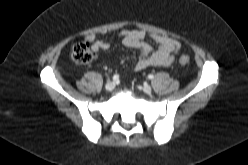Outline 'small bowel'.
<instances>
[{
    "mask_svg": "<svg viewBox=\"0 0 248 165\" xmlns=\"http://www.w3.org/2000/svg\"><path fill=\"white\" fill-rule=\"evenodd\" d=\"M122 43L128 48H138L141 51L140 57L134 62L133 68L137 71L150 67L169 66L180 50V43L168 36L149 34L140 29H125L118 33ZM150 37L157 48L154 49L146 39ZM85 39L92 44L94 50H107L111 44L108 40L99 38L95 34H88Z\"/></svg>",
    "mask_w": 248,
    "mask_h": 165,
    "instance_id": "small-bowel-1",
    "label": "small bowel"
}]
</instances>
